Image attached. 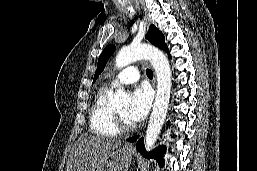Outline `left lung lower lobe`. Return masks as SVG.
Returning <instances> with one entry per match:
<instances>
[{
    "label": "left lung lower lobe",
    "instance_id": "0a47b994",
    "mask_svg": "<svg viewBox=\"0 0 257 171\" xmlns=\"http://www.w3.org/2000/svg\"><path fill=\"white\" fill-rule=\"evenodd\" d=\"M169 57H171V56L169 55ZM138 137L139 136L131 137V138L128 139V141L129 142H135L138 139ZM136 149L141 154H143L144 157L157 159L158 162H159V165L161 167H163V165H164V163H163V155L165 153V147L160 146L157 149H155V150H153V151H151L149 153H146V151L144 149V139L140 138V140H138V142L136 144Z\"/></svg>",
    "mask_w": 257,
    "mask_h": 171
}]
</instances>
